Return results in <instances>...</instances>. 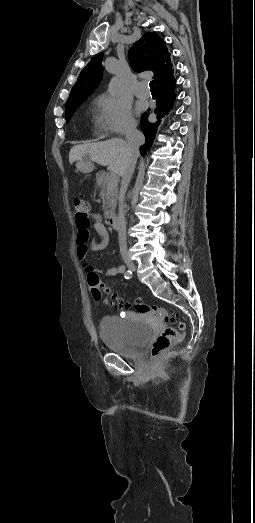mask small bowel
I'll list each match as a JSON object with an SVG mask.
<instances>
[{"label": "small bowel", "mask_w": 255, "mask_h": 523, "mask_svg": "<svg viewBox=\"0 0 255 523\" xmlns=\"http://www.w3.org/2000/svg\"><path fill=\"white\" fill-rule=\"evenodd\" d=\"M77 226V258L83 262V267L88 273H101V271L94 269L87 261V254L89 251H102L109 243V234L107 228L102 223L101 216L97 213H93L90 215L89 223L86 226ZM91 227L98 233L101 240L98 242L91 241L88 244ZM124 270L125 267L123 265H116L109 268L105 274L107 276H116L123 273Z\"/></svg>", "instance_id": "c3829d8e"}]
</instances>
